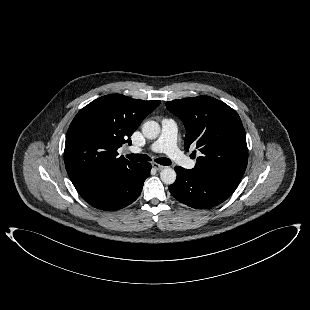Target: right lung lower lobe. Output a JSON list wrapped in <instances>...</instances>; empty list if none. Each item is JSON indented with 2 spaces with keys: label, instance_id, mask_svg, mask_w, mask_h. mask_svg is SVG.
<instances>
[{
  "label": "right lung lower lobe",
  "instance_id": "98d812e1",
  "mask_svg": "<svg viewBox=\"0 0 310 310\" xmlns=\"http://www.w3.org/2000/svg\"><path fill=\"white\" fill-rule=\"evenodd\" d=\"M150 170V163H137L130 169L112 173L76 190L95 208L105 211L118 210L138 198Z\"/></svg>",
  "mask_w": 310,
  "mask_h": 310
}]
</instances>
